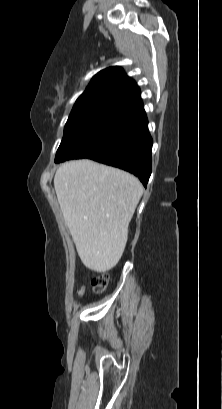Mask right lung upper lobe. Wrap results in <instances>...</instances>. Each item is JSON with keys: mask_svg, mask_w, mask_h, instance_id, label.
I'll return each mask as SVG.
<instances>
[{"mask_svg": "<svg viewBox=\"0 0 222 409\" xmlns=\"http://www.w3.org/2000/svg\"><path fill=\"white\" fill-rule=\"evenodd\" d=\"M140 89L120 67L97 73L77 99L73 109L96 106H122L126 110L141 105Z\"/></svg>", "mask_w": 222, "mask_h": 409, "instance_id": "cb5924a9", "label": "right lung upper lobe"}]
</instances>
